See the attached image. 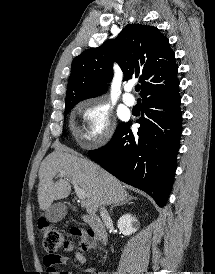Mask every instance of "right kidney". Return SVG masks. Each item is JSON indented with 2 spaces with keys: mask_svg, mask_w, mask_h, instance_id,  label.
Instances as JSON below:
<instances>
[{
  "mask_svg": "<svg viewBox=\"0 0 215 274\" xmlns=\"http://www.w3.org/2000/svg\"><path fill=\"white\" fill-rule=\"evenodd\" d=\"M137 222L135 217L125 214L119 218L117 226L124 235L129 236L137 231Z\"/></svg>",
  "mask_w": 215,
  "mask_h": 274,
  "instance_id": "1",
  "label": "right kidney"
}]
</instances>
